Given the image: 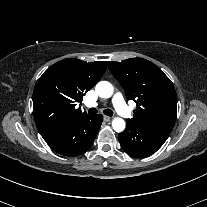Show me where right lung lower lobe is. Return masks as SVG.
I'll use <instances>...</instances> for the list:
<instances>
[{"mask_svg":"<svg viewBox=\"0 0 207 207\" xmlns=\"http://www.w3.org/2000/svg\"><path fill=\"white\" fill-rule=\"evenodd\" d=\"M102 121L101 114L81 118L62 126L44 139L55 152L74 157L91 147Z\"/></svg>","mask_w":207,"mask_h":207,"instance_id":"1","label":"right lung lower lobe"}]
</instances>
